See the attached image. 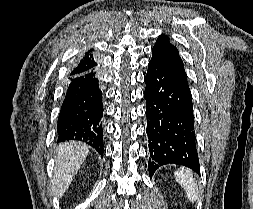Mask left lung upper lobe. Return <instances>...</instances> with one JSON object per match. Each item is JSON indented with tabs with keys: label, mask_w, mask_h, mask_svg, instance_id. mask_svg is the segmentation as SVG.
<instances>
[{
	"label": "left lung upper lobe",
	"mask_w": 253,
	"mask_h": 209,
	"mask_svg": "<svg viewBox=\"0 0 253 209\" xmlns=\"http://www.w3.org/2000/svg\"><path fill=\"white\" fill-rule=\"evenodd\" d=\"M152 53L151 60L160 61L171 67L179 74L186 88L190 92L182 59L179 56L177 48L169 42L168 36L162 34L158 37L152 49Z\"/></svg>",
	"instance_id": "1"
}]
</instances>
